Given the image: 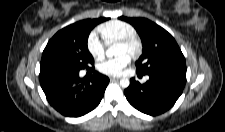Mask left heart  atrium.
Listing matches in <instances>:
<instances>
[{
    "instance_id": "obj_1",
    "label": "left heart atrium",
    "mask_w": 225,
    "mask_h": 132,
    "mask_svg": "<svg viewBox=\"0 0 225 132\" xmlns=\"http://www.w3.org/2000/svg\"><path fill=\"white\" fill-rule=\"evenodd\" d=\"M129 54H121L115 58H111L101 62L98 65V70L108 76H119L123 70L129 65Z\"/></svg>"
}]
</instances>
